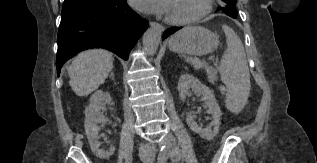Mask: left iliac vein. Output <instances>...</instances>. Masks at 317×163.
I'll use <instances>...</instances> for the list:
<instances>
[{
    "mask_svg": "<svg viewBox=\"0 0 317 163\" xmlns=\"http://www.w3.org/2000/svg\"><path fill=\"white\" fill-rule=\"evenodd\" d=\"M173 159H174L173 161H176L178 157L175 154H173Z\"/></svg>",
    "mask_w": 317,
    "mask_h": 163,
    "instance_id": "4c4485c4",
    "label": "left iliac vein"
}]
</instances>
